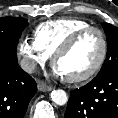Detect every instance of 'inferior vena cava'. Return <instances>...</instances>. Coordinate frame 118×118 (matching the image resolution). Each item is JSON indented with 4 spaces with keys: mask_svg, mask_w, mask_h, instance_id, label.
<instances>
[{
    "mask_svg": "<svg viewBox=\"0 0 118 118\" xmlns=\"http://www.w3.org/2000/svg\"><path fill=\"white\" fill-rule=\"evenodd\" d=\"M20 64L21 68L28 73H33L36 68V62L31 59H22Z\"/></svg>",
    "mask_w": 118,
    "mask_h": 118,
    "instance_id": "inferior-vena-cava-1",
    "label": "inferior vena cava"
}]
</instances>
